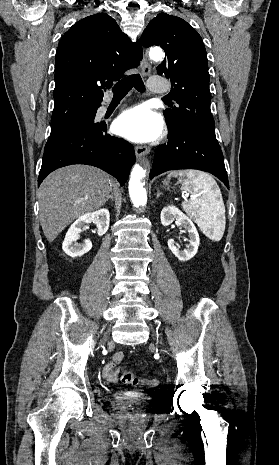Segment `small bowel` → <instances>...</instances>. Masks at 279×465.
Instances as JSON below:
<instances>
[{"label":"small bowel","instance_id":"small-bowel-1","mask_svg":"<svg viewBox=\"0 0 279 465\" xmlns=\"http://www.w3.org/2000/svg\"><path fill=\"white\" fill-rule=\"evenodd\" d=\"M124 359L122 352H117L113 355L110 362H108L102 369V376L109 382H117L119 379L120 371L118 364Z\"/></svg>","mask_w":279,"mask_h":465}]
</instances>
